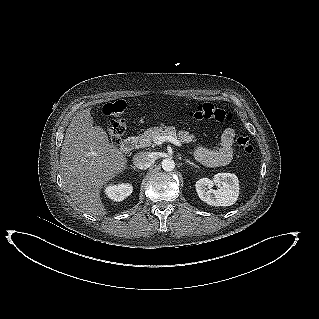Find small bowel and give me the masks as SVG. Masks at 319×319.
Listing matches in <instances>:
<instances>
[{
  "instance_id": "c3829d8e",
  "label": "small bowel",
  "mask_w": 319,
  "mask_h": 319,
  "mask_svg": "<svg viewBox=\"0 0 319 319\" xmlns=\"http://www.w3.org/2000/svg\"><path fill=\"white\" fill-rule=\"evenodd\" d=\"M235 131L227 128L222 134L220 144L215 149L196 147L194 155L203 165L208 167L225 166L232 160L235 154Z\"/></svg>"
}]
</instances>
